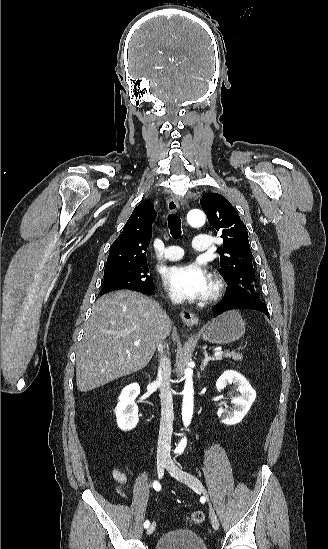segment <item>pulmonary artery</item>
Wrapping results in <instances>:
<instances>
[{
	"mask_svg": "<svg viewBox=\"0 0 328 549\" xmlns=\"http://www.w3.org/2000/svg\"><path fill=\"white\" fill-rule=\"evenodd\" d=\"M192 243L194 244V248L199 252H210L213 248L212 241L205 237H196ZM186 252L184 246H175L173 250L167 249L165 251V257L170 261H175L184 257Z\"/></svg>",
	"mask_w": 328,
	"mask_h": 549,
	"instance_id": "obj_1",
	"label": "pulmonary artery"
}]
</instances>
